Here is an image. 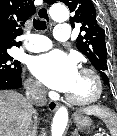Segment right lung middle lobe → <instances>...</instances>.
Instances as JSON below:
<instances>
[{"instance_id": "obj_1", "label": "right lung middle lobe", "mask_w": 117, "mask_h": 136, "mask_svg": "<svg viewBox=\"0 0 117 136\" xmlns=\"http://www.w3.org/2000/svg\"><path fill=\"white\" fill-rule=\"evenodd\" d=\"M21 72L20 62L8 53L0 54V73L18 74Z\"/></svg>"}]
</instances>
